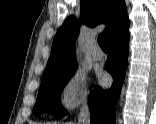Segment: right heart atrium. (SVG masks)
Masks as SVG:
<instances>
[{
    "instance_id": "right-heart-atrium-1",
    "label": "right heart atrium",
    "mask_w": 156,
    "mask_h": 124,
    "mask_svg": "<svg viewBox=\"0 0 156 124\" xmlns=\"http://www.w3.org/2000/svg\"><path fill=\"white\" fill-rule=\"evenodd\" d=\"M92 98L91 82L86 72L77 68L70 73L60 89V103L67 112L86 107Z\"/></svg>"
}]
</instances>
